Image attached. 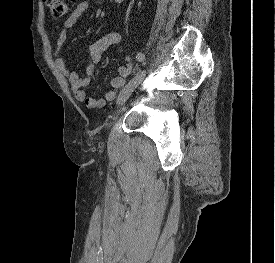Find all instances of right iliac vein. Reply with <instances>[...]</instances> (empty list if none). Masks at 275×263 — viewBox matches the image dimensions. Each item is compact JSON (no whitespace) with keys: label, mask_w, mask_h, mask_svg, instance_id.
Wrapping results in <instances>:
<instances>
[{"label":"right iliac vein","mask_w":275,"mask_h":263,"mask_svg":"<svg viewBox=\"0 0 275 263\" xmlns=\"http://www.w3.org/2000/svg\"><path fill=\"white\" fill-rule=\"evenodd\" d=\"M144 77H145V72H141L128 83V85L119 94L117 98V105H122L130 97L133 91L142 82Z\"/></svg>","instance_id":"obj_1"}]
</instances>
